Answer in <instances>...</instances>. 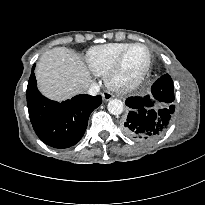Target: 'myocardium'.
I'll use <instances>...</instances> for the list:
<instances>
[{
  "label": "myocardium",
  "instance_id": "1",
  "mask_svg": "<svg viewBox=\"0 0 205 205\" xmlns=\"http://www.w3.org/2000/svg\"><path fill=\"white\" fill-rule=\"evenodd\" d=\"M135 47H143L147 51V63L145 67L134 77L125 79L122 77V69L126 56ZM152 66V53L149 47L143 43L130 44L117 58L111 69L106 74L107 86L118 92H129L139 87L150 72Z\"/></svg>",
  "mask_w": 205,
  "mask_h": 205
}]
</instances>
